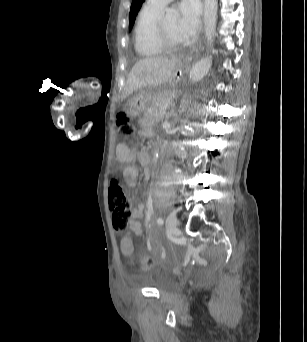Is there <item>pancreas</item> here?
Listing matches in <instances>:
<instances>
[{"label": "pancreas", "instance_id": "obj_1", "mask_svg": "<svg viewBox=\"0 0 307 342\" xmlns=\"http://www.w3.org/2000/svg\"><path fill=\"white\" fill-rule=\"evenodd\" d=\"M173 99L171 94H154L153 98L150 100L155 104H165V102H169ZM162 106H154V108H150L145 112V116H153V118H158V120H162L164 116H166L165 112L161 110Z\"/></svg>", "mask_w": 307, "mask_h": 342}]
</instances>
